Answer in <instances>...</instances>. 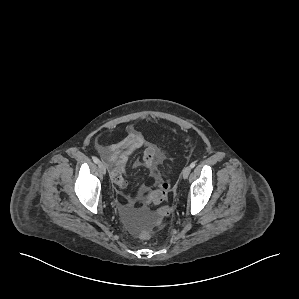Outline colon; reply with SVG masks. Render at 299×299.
<instances>
[{"label":"colon","mask_w":299,"mask_h":299,"mask_svg":"<svg viewBox=\"0 0 299 299\" xmlns=\"http://www.w3.org/2000/svg\"><path fill=\"white\" fill-rule=\"evenodd\" d=\"M168 188H169L168 183L162 182L161 187L159 189H156L150 193L148 197V202H154L157 204L166 202L168 200ZM168 213H169L168 206H163L162 208H160L158 212L159 218L156 221V223L142 230L140 232V236L143 239H148L151 236H153L158 230V228L162 225L163 219L168 215Z\"/></svg>","instance_id":"5ec220e1"}]
</instances>
